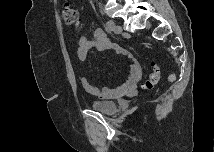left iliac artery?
<instances>
[{"instance_id": "left-iliac-artery-1", "label": "left iliac artery", "mask_w": 215, "mask_h": 152, "mask_svg": "<svg viewBox=\"0 0 215 152\" xmlns=\"http://www.w3.org/2000/svg\"><path fill=\"white\" fill-rule=\"evenodd\" d=\"M113 25H114V23H113L112 21H107V22L105 23L106 28H107L108 30H110V31L112 30Z\"/></svg>"}]
</instances>
